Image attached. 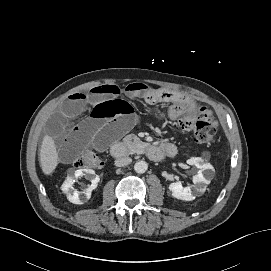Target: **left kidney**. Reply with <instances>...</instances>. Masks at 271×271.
I'll use <instances>...</instances> for the list:
<instances>
[{
  "label": "left kidney",
  "instance_id": "1",
  "mask_svg": "<svg viewBox=\"0 0 271 271\" xmlns=\"http://www.w3.org/2000/svg\"><path fill=\"white\" fill-rule=\"evenodd\" d=\"M187 163L189 165H195L199 168V171L196 175L193 176L194 188L197 190H204L206 185L210 183V179H206L203 175V171L213 170V167L208 163H200V159L197 157H191ZM208 175V173H207ZM169 190L172 193V196L184 200L191 201L193 199L191 188L183 187L180 182L171 183L169 185Z\"/></svg>",
  "mask_w": 271,
  "mask_h": 271
}]
</instances>
